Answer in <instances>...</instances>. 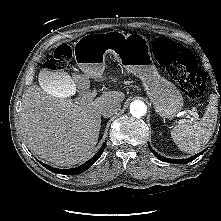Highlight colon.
I'll return each mask as SVG.
<instances>
[{
  "mask_svg": "<svg viewBox=\"0 0 221 221\" xmlns=\"http://www.w3.org/2000/svg\"><path fill=\"white\" fill-rule=\"evenodd\" d=\"M152 49L160 65L179 83L187 97L197 99L203 95L206 73L198 67L196 58L187 48L159 36L153 39ZM72 54L70 46H58L47 63V69L63 71L69 65Z\"/></svg>",
  "mask_w": 221,
  "mask_h": 221,
  "instance_id": "1",
  "label": "colon"
}]
</instances>
